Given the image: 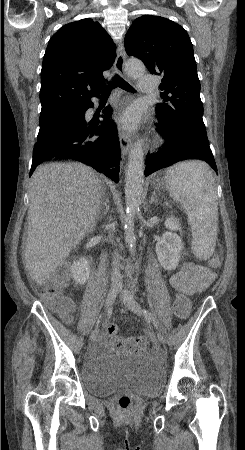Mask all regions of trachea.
I'll return each mask as SVG.
<instances>
[{"label": "trachea", "mask_w": 245, "mask_h": 450, "mask_svg": "<svg viewBox=\"0 0 245 450\" xmlns=\"http://www.w3.org/2000/svg\"><path fill=\"white\" fill-rule=\"evenodd\" d=\"M120 87L121 89L129 92H135V89L127 83L124 79H122L118 74H116L112 80L108 83L106 90L102 93L103 96L110 95L111 90L116 87Z\"/></svg>", "instance_id": "obj_1"}]
</instances>
